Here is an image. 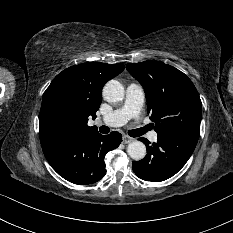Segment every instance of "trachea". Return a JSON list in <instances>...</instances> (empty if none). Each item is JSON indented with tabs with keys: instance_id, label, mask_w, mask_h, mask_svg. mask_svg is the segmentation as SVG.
<instances>
[{
	"instance_id": "3493384b",
	"label": "trachea",
	"mask_w": 233,
	"mask_h": 233,
	"mask_svg": "<svg viewBox=\"0 0 233 233\" xmlns=\"http://www.w3.org/2000/svg\"><path fill=\"white\" fill-rule=\"evenodd\" d=\"M109 131H110L109 128L106 126L100 127L101 133L107 134V133H109ZM144 132H145V129H135V130H130L128 133L132 137H138V136H141L142 134H144Z\"/></svg>"
}]
</instances>
